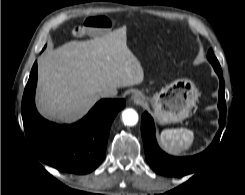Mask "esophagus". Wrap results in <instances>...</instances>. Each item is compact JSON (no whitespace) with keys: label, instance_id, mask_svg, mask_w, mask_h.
<instances>
[{"label":"esophagus","instance_id":"34e87169","mask_svg":"<svg viewBox=\"0 0 245 195\" xmlns=\"http://www.w3.org/2000/svg\"><path fill=\"white\" fill-rule=\"evenodd\" d=\"M143 96L139 92H135L131 96V101L136 104H140L143 102Z\"/></svg>","mask_w":245,"mask_h":195}]
</instances>
